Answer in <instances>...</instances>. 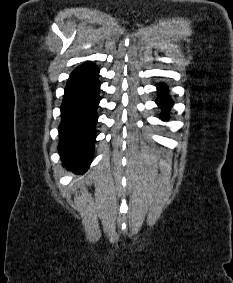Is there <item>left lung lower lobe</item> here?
<instances>
[{
	"label": "left lung lower lobe",
	"mask_w": 233,
	"mask_h": 283,
	"mask_svg": "<svg viewBox=\"0 0 233 283\" xmlns=\"http://www.w3.org/2000/svg\"><path fill=\"white\" fill-rule=\"evenodd\" d=\"M159 96L157 99V104L163 109V114L161 116V119L166 120L167 119V109H169L172 106V101L170 97L166 94V86L163 84H159L158 86Z\"/></svg>",
	"instance_id": "0a47b994"
}]
</instances>
